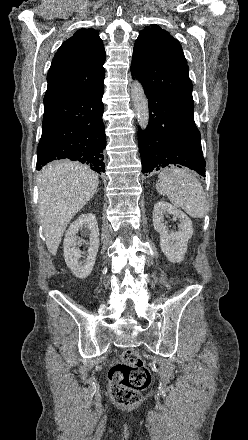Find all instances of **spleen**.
Returning a JSON list of instances; mask_svg holds the SVG:
<instances>
[{
	"label": "spleen",
	"instance_id": "3e777b00",
	"mask_svg": "<svg viewBox=\"0 0 248 440\" xmlns=\"http://www.w3.org/2000/svg\"><path fill=\"white\" fill-rule=\"evenodd\" d=\"M156 189L194 218L206 213V197L200 181L186 169L171 167L158 175Z\"/></svg>",
	"mask_w": 248,
	"mask_h": 440
}]
</instances>
